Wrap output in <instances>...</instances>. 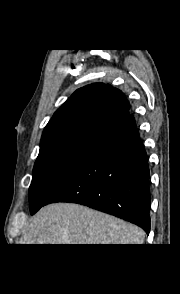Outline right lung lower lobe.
I'll use <instances>...</instances> for the list:
<instances>
[{"label":"right lung lower lobe","instance_id":"right-lung-lower-lobe-1","mask_svg":"<svg viewBox=\"0 0 180 294\" xmlns=\"http://www.w3.org/2000/svg\"><path fill=\"white\" fill-rule=\"evenodd\" d=\"M53 202L86 205L134 223L149 234V168L132 115L98 143L44 205Z\"/></svg>","mask_w":180,"mask_h":294}]
</instances>
